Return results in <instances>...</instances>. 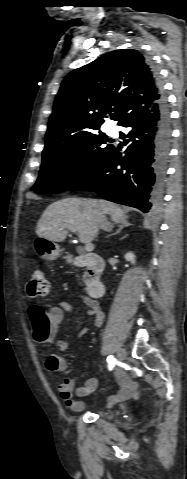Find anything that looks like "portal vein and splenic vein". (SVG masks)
Masks as SVG:
<instances>
[{
  "instance_id": "1",
  "label": "portal vein and splenic vein",
  "mask_w": 187,
  "mask_h": 479,
  "mask_svg": "<svg viewBox=\"0 0 187 479\" xmlns=\"http://www.w3.org/2000/svg\"><path fill=\"white\" fill-rule=\"evenodd\" d=\"M68 229L72 232H75V230L71 227H68ZM85 250L88 251V252L92 251L93 250V244L92 243H86Z\"/></svg>"
}]
</instances>
